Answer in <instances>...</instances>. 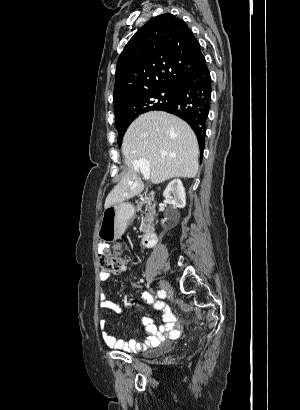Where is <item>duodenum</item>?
Returning <instances> with one entry per match:
<instances>
[{
    "label": "duodenum",
    "mask_w": 300,
    "mask_h": 410,
    "mask_svg": "<svg viewBox=\"0 0 300 410\" xmlns=\"http://www.w3.org/2000/svg\"><path fill=\"white\" fill-rule=\"evenodd\" d=\"M155 196H156L155 193H150L149 194V197L151 199H154ZM157 240H158L157 233L153 232V231H148L143 235L142 240H141V244L145 248H151V247L156 245Z\"/></svg>",
    "instance_id": "duodenum-1"
}]
</instances>
